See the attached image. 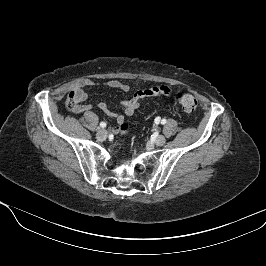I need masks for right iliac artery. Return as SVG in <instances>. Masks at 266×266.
Here are the masks:
<instances>
[{"label":"right iliac artery","instance_id":"obj_1","mask_svg":"<svg viewBox=\"0 0 266 266\" xmlns=\"http://www.w3.org/2000/svg\"><path fill=\"white\" fill-rule=\"evenodd\" d=\"M100 127L105 128L106 127V123L105 122H101L100 123Z\"/></svg>","mask_w":266,"mask_h":266}]
</instances>
